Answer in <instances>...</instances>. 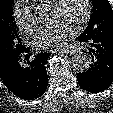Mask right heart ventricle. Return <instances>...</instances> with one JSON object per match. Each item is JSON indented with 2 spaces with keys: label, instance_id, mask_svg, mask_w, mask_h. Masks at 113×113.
<instances>
[{
  "label": "right heart ventricle",
  "instance_id": "obj_1",
  "mask_svg": "<svg viewBox=\"0 0 113 113\" xmlns=\"http://www.w3.org/2000/svg\"><path fill=\"white\" fill-rule=\"evenodd\" d=\"M53 0H32V2L38 5H50Z\"/></svg>",
  "mask_w": 113,
  "mask_h": 113
}]
</instances>
